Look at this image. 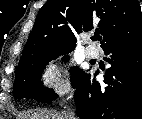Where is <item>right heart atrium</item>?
Returning <instances> with one entry per match:
<instances>
[{"label":"right heart atrium","instance_id":"right-heart-atrium-1","mask_svg":"<svg viewBox=\"0 0 142 119\" xmlns=\"http://www.w3.org/2000/svg\"><path fill=\"white\" fill-rule=\"evenodd\" d=\"M41 82L45 88L59 95L66 94L71 89L70 82L65 77L62 69L55 64L44 69Z\"/></svg>","mask_w":142,"mask_h":119}]
</instances>
